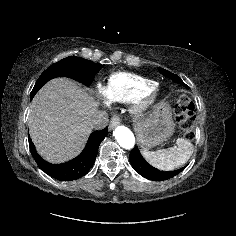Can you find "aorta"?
<instances>
[{"label":"aorta","instance_id":"762f6f07","mask_svg":"<svg viewBox=\"0 0 236 236\" xmlns=\"http://www.w3.org/2000/svg\"><path fill=\"white\" fill-rule=\"evenodd\" d=\"M113 135L119 145L124 149H132L135 144V137L132 131L125 126H117Z\"/></svg>","mask_w":236,"mask_h":236}]
</instances>
